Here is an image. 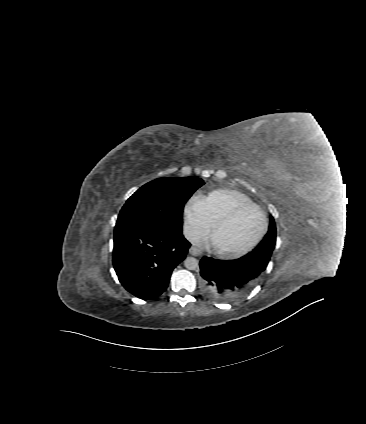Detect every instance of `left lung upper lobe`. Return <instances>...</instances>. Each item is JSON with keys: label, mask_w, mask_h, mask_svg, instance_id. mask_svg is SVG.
<instances>
[{"label": "left lung upper lobe", "mask_w": 366, "mask_h": 424, "mask_svg": "<svg viewBox=\"0 0 366 424\" xmlns=\"http://www.w3.org/2000/svg\"><path fill=\"white\" fill-rule=\"evenodd\" d=\"M275 243H276V226H275L274 219L271 217L268 233L265 235L261 243L249 254L252 257H257L259 259H262L266 263H268L270 261L271 254L274 250Z\"/></svg>", "instance_id": "5c2ea615"}]
</instances>
